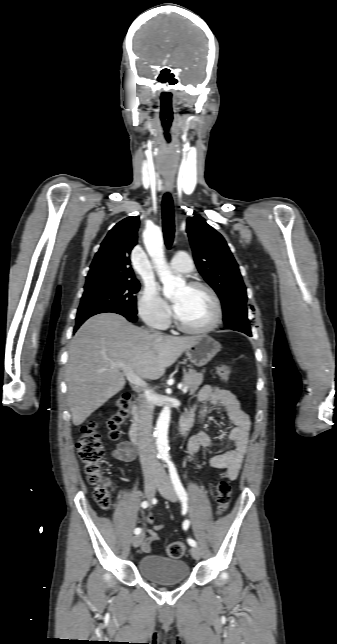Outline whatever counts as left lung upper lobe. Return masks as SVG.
Segmentation results:
<instances>
[{
    "mask_svg": "<svg viewBox=\"0 0 337 644\" xmlns=\"http://www.w3.org/2000/svg\"><path fill=\"white\" fill-rule=\"evenodd\" d=\"M186 231L198 271L221 300L225 328L252 336L246 287L226 241L199 215L187 219Z\"/></svg>",
    "mask_w": 337,
    "mask_h": 644,
    "instance_id": "5c2ea615",
    "label": "left lung upper lobe"
}]
</instances>
